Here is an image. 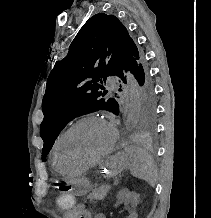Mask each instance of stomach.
Masks as SVG:
<instances>
[{
	"label": "stomach",
	"instance_id": "stomach-1",
	"mask_svg": "<svg viewBox=\"0 0 211 218\" xmlns=\"http://www.w3.org/2000/svg\"><path fill=\"white\" fill-rule=\"evenodd\" d=\"M128 165V155L124 152H118L106 160L102 173L105 177H114L126 169ZM67 183L71 185L72 193L78 196L85 195L92 188L89 180L85 177L69 178Z\"/></svg>",
	"mask_w": 211,
	"mask_h": 218
}]
</instances>
